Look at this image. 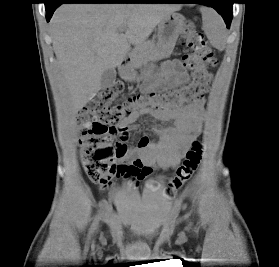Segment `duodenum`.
Instances as JSON below:
<instances>
[{"label":"duodenum","instance_id":"410a0bca","mask_svg":"<svg viewBox=\"0 0 279 267\" xmlns=\"http://www.w3.org/2000/svg\"><path fill=\"white\" fill-rule=\"evenodd\" d=\"M119 68L120 70L124 73V74H129L131 69H132V60L128 55H125L119 64Z\"/></svg>","mask_w":279,"mask_h":267}]
</instances>
